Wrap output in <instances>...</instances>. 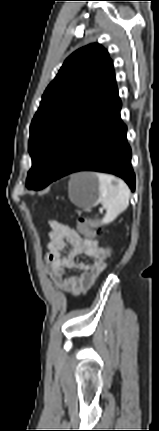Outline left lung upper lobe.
<instances>
[{"instance_id":"5c2ea615","label":"left lung upper lobe","mask_w":159,"mask_h":431,"mask_svg":"<svg viewBox=\"0 0 159 431\" xmlns=\"http://www.w3.org/2000/svg\"><path fill=\"white\" fill-rule=\"evenodd\" d=\"M113 62L99 44L71 54L46 88L31 126L27 188L51 183L80 129L117 97Z\"/></svg>"}]
</instances>
